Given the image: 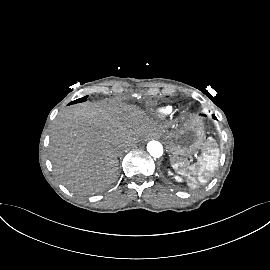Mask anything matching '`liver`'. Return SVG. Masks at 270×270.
<instances>
[{
    "label": "liver",
    "instance_id": "obj_1",
    "mask_svg": "<svg viewBox=\"0 0 270 270\" xmlns=\"http://www.w3.org/2000/svg\"><path fill=\"white\" fill-rule=\"evenodd\" d=\"M154 131L139 108L113 100L70 106L58 113L50 135L54 171L71 189L99 191L117 177V153Z\"/></svg>",
    "mask_w": 270,
    "mask_h": 270
}]
</instances>
